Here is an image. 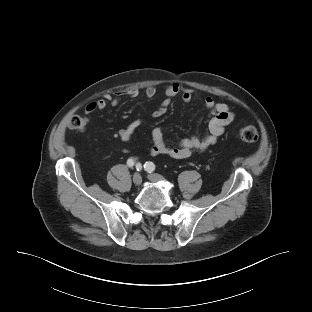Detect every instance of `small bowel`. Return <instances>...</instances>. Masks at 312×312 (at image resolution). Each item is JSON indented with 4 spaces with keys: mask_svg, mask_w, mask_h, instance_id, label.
Listing matches in <instances>:
<instances>
[{
    "mask_svg": "<svg viewBox=\"0 0 312 312\" xmlns=\"http://www.w3.org/2000/svg\"><path fill=\"white\" fill-rule=\"evenodd\" d=\"M157 93L155 86H148L145 94L148 98H153ZM138 89L132 88L123 91H118L114 94H106L97 101L90 102L86 108L85 113L90 115L96 110H103L109 104L117 105L124 98H134L138 96ZM180 96L184 103H189L193 100H202L205 107L210 111L211 118L208 123L207 132L203 135H193L184 138L179 145H169L164 138L163 130L161 127H154L152 129L153 144L150 148L151 155H165L175 159H187L196 153L206 150L209 146L213 145L217 139L223 134L225 128L233 121L234 114L229 106L223 102L216 101L211 96L204 98L192 89L185 88L178 83H172L165 89V98L152 113L153 117L158 118L164 115L172 100ZM141 120L135 119L126 127L119 130L120 139L128 143L131 141L133 134L140 127Z\"/></svg>",
    "mask_w": 312,
    "mask_h": 312,
    "instance_id": "1",
    "label": "small bowel"
}]
</instances>
